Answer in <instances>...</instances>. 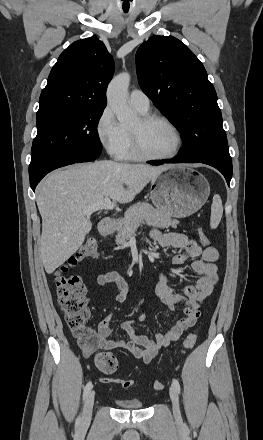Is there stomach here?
Returning a JSON list of instances; mask_svg holds the SVG:
<instances>
[{
  "instance_id": "1",
  "label": "stomach",
  "mask_w": 263,
  "mask_h": 440,
  "mask_svg": "<svg viewBox=\"0 0 263 440\" xmlns=\"http://www.w3.org/2000/svg\"><path fill=\"white\" fill-rule=\"evenodd\" d=\"M151 201L157 210L175 218L197 212L207 201L210 186L198 171L173 166L152 182Z\"/></svg>"
}]
</instances>
